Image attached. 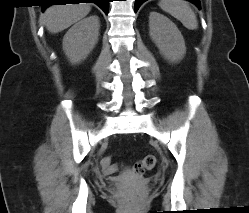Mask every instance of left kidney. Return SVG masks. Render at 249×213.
<instances>
[{"label": "left kidney", "mask_w": 249, "mask_h": 213, "mask_svg": "<svg viewBox=\"0 0 249 213\" xmlns=\"http://www.w3.org/2000/svg\"><path fill=\"white\" fill-rule=\"evenodd\" d=\"M149 33L160 53L171 63L182 60L186 54L184 38L177 26L166 16L151 12Z\"/></svg>", "instance_id": "1"}]
</instances>
